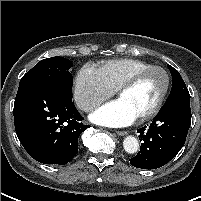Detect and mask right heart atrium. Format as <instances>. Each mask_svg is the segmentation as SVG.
I'll use <instances>...</instances> for the list:
<instances>
[{
	"instance_id": "obj_1",
	"label": "right heart atrium",
	"mask_w": 201,
	"mask_h": 201,
	"mask_svg": "<svg viewBox=\"0 0 201 201\" xmlns=\"http://www.w3.org/2000/svg\"><path fill=\"white\" fill-rule=\"evenodd\" d=\"M73 94L78 107L91 112L110 98L114 90L106 84L98 68L84 65L75 77Z\"/></svg>"
}]
</instances>
